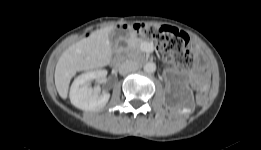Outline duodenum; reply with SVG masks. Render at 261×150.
I'll return each instance as SVG.
<instances>
[{
	"instance_id": "410a0bca",
	"label": "duodenum",
	"mask_w": 261,
	"mask_h": 150,
	"mask_svg": "<svg viewBox=\"0 0 261 150\" xmlns=\"http://www.w3.org/2000/svg\"><path fill=\"white\" fill-rule=\"evenodd\" d=\"M121 29H123V27H121ZM121 60V56L120 55H117L115 58H114V63H118L119 61Z\"/></svg>"
}]
</instances>
